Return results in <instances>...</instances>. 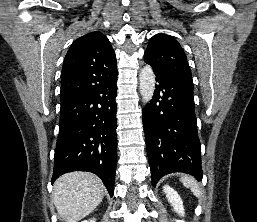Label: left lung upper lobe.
I'll return each mask as SVG.
<instances>
[{
    "label": "left lung upper lobe",
    "mask_w": 257,
    "mask_h": 222,
    "mask_svg": "<svg viewBox=\"0 0 257 222\" xmlns=\"http://www.w3.org/2000/svg\"><path fill=\"white\" fill-rule=\"evenodd\" d=\"M144 61L154 69L193 86L187 57L181 45L172 36L162 33L154 35L145 51Z\"/></svg>",
    "instance_id": "obj_1"
}]
</instances>
